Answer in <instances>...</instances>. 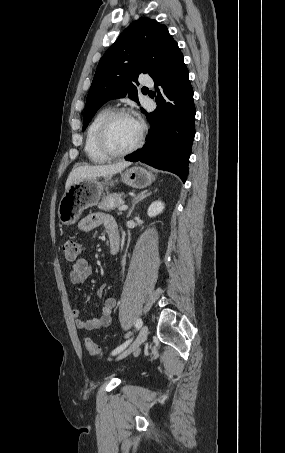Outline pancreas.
<instances>
[{
	"instance_id": "1",
	"label": "pancreas",
	"mask_w": 285,
	"mask_h": 453,
	"mask_svg": "<svg viewBox=\"0 0 285 453\" xmlns=\"http://www.w3.org/2000/svg\"><path fill=\"white\" fill-rule=\"evenodd\" d=\"M121 201V194H109L102 198L101 202L98 204V208L104 211H111L120 206ZM118 215H121V212H119Z\"/></svg>"
}]
</instances>
